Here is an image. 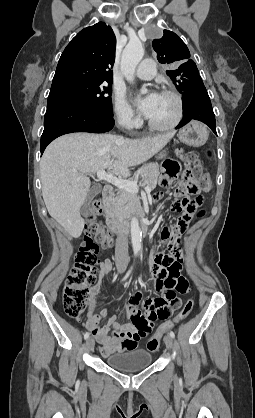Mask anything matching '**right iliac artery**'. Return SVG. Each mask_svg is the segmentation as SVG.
Here are the masks:
<instances>
[{
  "label": "right iliac artery",
  "instance_id": "82829eb1",
  "mask_svg": "<svg viewBox=\"0 0 255 418\" xmlns=\"http://www.w3.org/2000/svg\"><path fill=\"white\" fill-rule=\"evenodd\" d=\"M132 268L133 267H131V269L127 272V274L125 275V277L123 278V280H125L129 275H130V273H131V271H132ZM88 337H89V333L88 332H86L85 334H84V339H88Z\"/></svg>",
  "mask_w": 255,
  "mask_h": 418
}]
</instances>
